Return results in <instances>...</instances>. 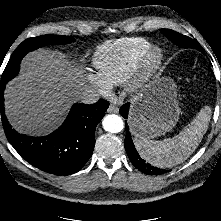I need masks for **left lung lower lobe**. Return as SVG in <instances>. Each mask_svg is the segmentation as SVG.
I'll use <instances>...</instances> for the list:
<instances>
[{"label": "left lung lower lobe", "instance_id": "obj_1", "mask_svg": "<svg viewBox=\"0 0 221 221\" xmlns=\"http://www.w3.org/2000/svg\"><path fill=\"white\" fill-rule=\"evenodd\" d=\"M128 111H129V103L123 105L120 108L121 115L127 119L128 118ZM125 149L129 159L131 160L132 164L140 171L148 175H159L165 172H169V170H161L157 167L151 166L147 164L137 153L133 141L131 139V134L129 132V128L126 127V136H125Z\"/></svg>", "mask_w": 221, "mask_h": 221}]
</instances>
